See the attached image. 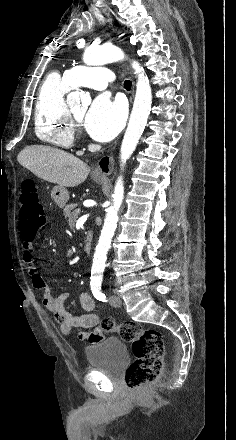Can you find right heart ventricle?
I'll list each match as a JSON object with an SVG mask.
<instances>
[{"label": "right heart ventricle", "mask_w": 236, "mask_h": 440, "mask_svg": "<svg viewBox=\"0 0 236 440\" xmlns=\"http://www.w3.org/2000/svg\"><path fill=\"white\" fill-rule=\"evenodd\" d=\"M71 88L73 86L66 76L52 73L42 83L35 105L37 137L60 149H68L74 142L69 109L65 102V95Z\"/></svg>", "instance_id": "obj_1"}]
</instances>
